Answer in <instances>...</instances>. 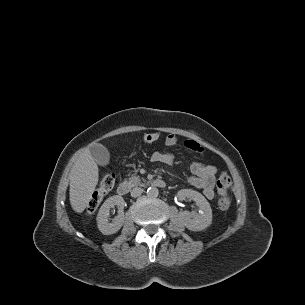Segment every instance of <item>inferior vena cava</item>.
<instances>
[{
	"label": "inferior vena cava",
	"mask_w": 305,
	"mask_h": 305,
	"mask_svg": "<svg viewBox=\"0 0 305 305\" xmlns=\"http://www.w3.org/2000/svg\"><path fill=\"white\" fill-rule=\"evenodd\" d=\"M143 189L140 187H135L131 190V196L132 197H138L142 194Z\"/></svg>",
	"instance_id": "inferior-vena-cava-1"
}]
</instances>
